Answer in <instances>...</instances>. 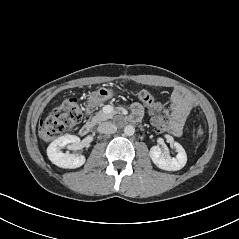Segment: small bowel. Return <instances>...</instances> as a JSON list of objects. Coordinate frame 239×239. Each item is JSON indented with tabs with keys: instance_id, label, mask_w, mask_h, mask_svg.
<instances>
[{
	"instance_id": "c3829d8e",
	"label": "small bowel",
	"mask_w": 239,
	"mask_h": 239,
	"mask_svg": "<svg viewBox=\"0 0 239 239\" xmlns=\"http://www.w3.org/2000/svg\"><path fill=\"white\" fill-rule=\"evenodd\" d=\"M192 106L191 97L183 91L176 90L171 96L169 115L171 118V126L168 133L174 136H180L183 125L188 117ZM143 115V107L140 103H134L131 109V119L138 121Z\"/></svg>"
}]
</instances>
